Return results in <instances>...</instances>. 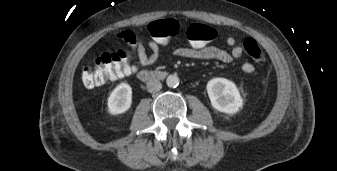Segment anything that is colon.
I'll use <instances>...</instances> for the list:
<instances>
[{
	"instance_id": "5ec220e1",
	"label": "colon",
	"mask_w": 337,
	"mask_h": 171,
	"mask_svg": "<svg viewBox=\"0 0 337 171\" xmlns=\"http://www.w3.org/2000/svg\"><path fill=\"white\" fill-rule=\"evenodd\" d=\"M179 31V22L172 18L156 20L148 25L150 36L164 48H169L174 44L175 36ZM185 34L192 46L201 47L215 38L216 31L208 25L192 23L186 28ZM243 47L247 55L254 61L259 64L266 63V55L256 40L246 38ZM133 56L131 49L99 55L94 63L82 72L84 86L94 88L106 85L129 73L132 69Z\"/></svg>"
}]
</instances>
